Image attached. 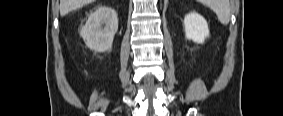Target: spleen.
Listing matches in <instances>:
<instances>
[{
    "label": "spleen",
    "instance_id": "1",
    "mask_svg": "<svg viewBox=\"0 0 283 116\" xmlns=\"http://www.w3.org/2000/svg\"><path fill=\"white\" fill-rule=\"evenodd\" d=\"M203 4L209 7L218 17L222 25L230 21V3L228 0H204Z\"/></svg>",
    "mask_w": 283,
    "mask_h": 116
}]
</instances>
